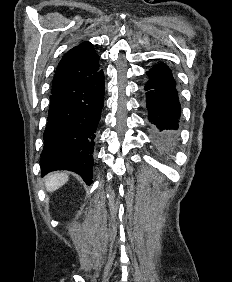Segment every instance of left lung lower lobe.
I'll return each instance as SVG.
<instances>
[{
  "instance_id": "left-lung-lower-lobe-1",
  "label": "left lung lower lobe",
  "mask_w": 232,
  "mask_h": 282,
  "mask_svg": "<svg viewBox=\"0 0 232 282\" xmlns=\"http://www.w3.org/2000/svg\"><path fill=\"white\" fill-rule=\"evenodd\" d=\"M147 76L146 103L148 119L154 127V141L159 146H168L176 139L181 114L176 81L164 63L152 67Z\"/></svg>"
}]
</instances>
